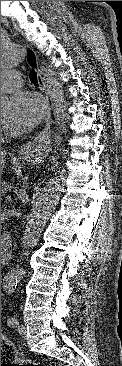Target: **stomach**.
Segmentation results:
<instances>
[{"mask_svg": "<svg viewBox=\"0 0 122 366\" xmlns=\"http://www.w3.org/2000/svg\"><path fill=\"white\" fill-rule=\"evenodd\" d=\"M32 155V153H29V156H31Z\"/></svg>", "mask_w": 122, "mask_h": 366, "instance_id": "stomach-1", "label": "stomach"}]
</instances>
